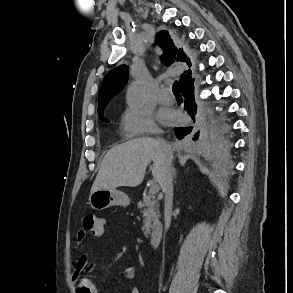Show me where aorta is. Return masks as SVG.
I'll return each instance as SVG.
<instances>
[{
  "label": "aorta",
  "mask_w": 293,
  "mask_h": 293,
  "mask_svg": "<svg viewBox=\"0 0 293 293\" xmlns=\"http://www.w3.org/2000/svg\"><path fill=\"white\" fill-rule=\"evenodd\" d=\"M145 86L141 81L134 82L128 89V101L133 107L139 108L143 104Z\"/></svg>",
  "instance_id": "obj_1"
}]
</instances>
